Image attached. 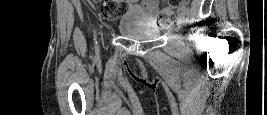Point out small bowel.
Returning <instances> with one entry per match:
<instances>
[{"instance_id":"small-bowel-1","label":"small bowel","mask_w":267,"mask_h":115,"mask_svg":"<svg viewBox=\"0 0 267 115\" xmlns=\"http://www.w3.org/2000/svg\"><path fill=\"white\" fill-rule=\"evenodd\" d=\"M158 5V0H146L140 4L131 3L130 10L141 13L150 20H154L157 14Z\"/></svg>"}]
</instances>
